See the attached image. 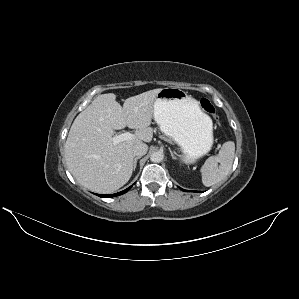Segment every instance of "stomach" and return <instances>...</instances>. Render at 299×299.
Wrapping results in <instances>:
<instances>
[{
    "label": "stomach",
    "instance_id": "obj_1",
    "mask_svg": "<svg viewBox=\"0 0 299 299\" xmlns=\"http://www.w3.org/2000/svg\"><path fill=\"white\" fill-rule=\"evenodd\" d=\"M153 108L161 132L180 146L186 162L192 163L210 151L212 120L187 92L177 87L161 89Z\"/></svg>",
    "mask_w": 299,
    "mask_h": 299
}]
</instances>
